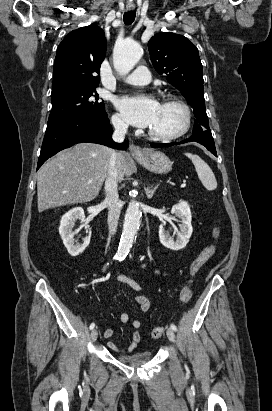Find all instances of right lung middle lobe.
I'll return each instance as SVG.
<instances>
[{
	"mask_svg": "<svg viewBox=\"0 0 272 411\" xmlns=\"http://www.w3.org/2000/svg\"><path fill=\"white\" fill-rule=\"evenodd\" d=\"M95 88H80L51 97L52 110L47 125L76 115L106 114L104 103L99 100Z\"/></svg>",
	"mask_w": 272,
	"mask_h": 411,
	"instance_id": "1",
	"label": "right lung middle lobe"
}]
</instances>
